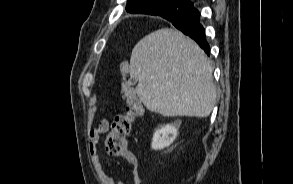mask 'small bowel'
<instances>
[{
	"label": "small bowel",
	"mask_w": 293,
	"mask_h": 184,
	"mask_svg": "<svg viewBox=\"0 0 293 184\" xmlns=\"http://www.w3.org/2000/svg\"><path fill=\"white\" fill-rule=\"evenodd\" d=\"M109 130V121L106 118L100 120L96 128L89 132V150L92 155L93 165L99 175L101 184H127L124 181H116L111 176L107 175L103 162L100 156L98 142L100 137ZM130 165V174L134 184H140V174L138 169V164L135 159L128 160Z\"/></svg>",
	"instance_id": "obj_1"
}]
</instances>
